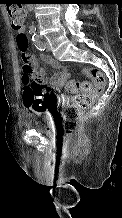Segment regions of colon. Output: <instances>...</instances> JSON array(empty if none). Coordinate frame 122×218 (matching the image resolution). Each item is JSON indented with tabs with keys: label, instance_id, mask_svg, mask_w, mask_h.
I'll return each instance as SVG.
<instances>
[{
	"label": "colon",
	"instance_id": "obj_1",
	"mask_svg": "<svg viewBox=\"0 0 122 218\" xmlns=\"http://www.w3.org/2000/svg\"><path fill=\"white\" fill-rule=\"evenodd\" d=\"M12 28L17 31L16 45L22 59V82L24 84L23 102L24 106L31 112H41V105L36 102V94L45 91V87L36 84L31 79V67L28 63L29 40L25 33L21 32L25 20V10L21 4L10 2L8 4ZM83 72L92 80L93 85L78 80H70L65 88L73 98L63 109L64 129L71 133L76 129L82 113L88 110L93 98L100 94L106 87L107 80L101 70L94 67H86Z\"/></svg>",
	"mask_w": 122,
	"mask_h": 218
}]
</instances>
